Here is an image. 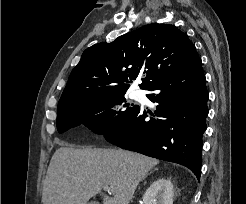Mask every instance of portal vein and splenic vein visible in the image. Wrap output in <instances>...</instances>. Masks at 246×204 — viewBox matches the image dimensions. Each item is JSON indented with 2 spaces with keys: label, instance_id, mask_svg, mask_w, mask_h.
I'll return each mask as SVG.
<instances>
[{
  "label": "portal vein and splenic vein",
  "instance_id": "18ae733b",
  "mask_svg": "<svg viewBox=\"0 0 246 204\" xmlns=\"http://www.w3.org/2000/svg\"><path fill=\"white\" fill-rule=\"evenodd\" d=\"M103 189L108 191V192L109 191H113L112 188L110 186H108V185L103 186Z\"/></svg>",
  "mask_w": 246,
  "mask_h": 204
}]
</instances>
